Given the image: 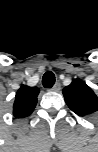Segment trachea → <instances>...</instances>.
I'll return each instance as SVG.
<instances>
[{"label": "trachea", "instance_id": "obj_1", "mask_svg": "<svg viewBox=\"0 0 98 152\" xmlns=\"http://www.w3.org/2000/svg\"><path fill=\"white\" fill-rule=\"evenodd\" d=\"M42 84L45 88H51L55 84V75L51 71H47L42 77Z\"/></svg>", "mask_w": 98, "mask_h": 152}]
</instances>
